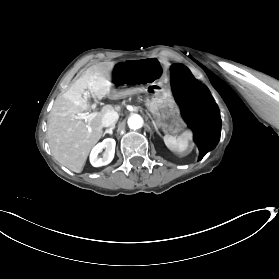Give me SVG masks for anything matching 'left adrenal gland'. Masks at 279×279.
I'll list each match as a JSON object with an SVG mask.
<instances>
[{"instance_id": "obj_1", "label": "left adrenal gland", "mask_w": 279, "mask_h": 279, "mask_svg": "<svg viewBox=\"0 0 279 279\" xmlns=\"http://www.w3.org/2000/svg\"><path fill=\"white\" fill-rule=\"evenodd\" d=\"M149 118L151 119V121H153L152 117L149 115ZM156 131L158 132L157 127H155Z\"/></svg>"}]
</instances>
